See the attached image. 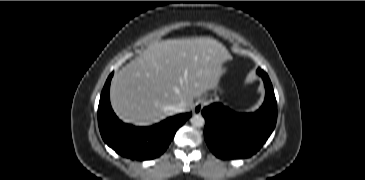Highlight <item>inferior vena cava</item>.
<instances>
[{
	"label": "inferior vena cava",
	"mask_w": 365,
	"mask_h": 180,
	"mask_svg": "<svg viewBox=\"0 0 365 180\" xmlns=\"http://www.w3.org/2000/svg\"><path fill=\"white\" fill-rule=\"evenodd\" d=\"M172 110H173L175 113H180V112L185 111V103H184V102H180V103H178L176 106H174V107L172 108Z\"/></svg>",
	"instance_id": "inferior-vena-cava-1"
}]
</instances>
